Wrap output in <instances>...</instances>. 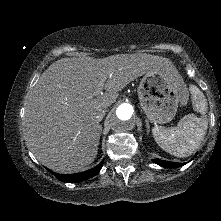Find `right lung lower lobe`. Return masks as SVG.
I'll return each mask as SVG.
<instances>
[{
	"label": "right lung lower lobe",
	"mask_w": 221,
	"mask_h": 221,
	"mask_svg": "<svg viewBox=\"0 0 221 221\" xmlns=\"http://www.w3.org/2000/svg\"><path fill=\"white\" fill-rule=\"evenodd\" d=\"M103 163H104V161H102L99 165H97L96 167H94L90 170H87L82 173H76V174H57L49 169H47V170L62 182L77 183V182H81V181L87 180V179L95 176L102 168Z\"/></svg>",
	"instance_id": "right-lung-lower-lobe-1"
}]
</instances>
